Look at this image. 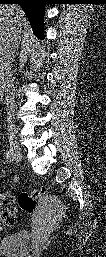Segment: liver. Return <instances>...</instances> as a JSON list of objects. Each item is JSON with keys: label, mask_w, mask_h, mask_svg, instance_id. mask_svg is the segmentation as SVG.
Returning a JSON list of instances; mask_svg holds the SVG:
<instances>
[{"label": "liver", "mask_w": 106, "mask_h": 257, "mask_svg": "<svg viewBox=\"0 0 106 257\" xmlns=\"http://www.w3.org/2000/svg\"><path fill=\"white\" fill-rule=\"evenodd\" d=\"M26 18L22 9L18 6L2 5L0 8V42H4L12 24H18L20 27L24 24Z\"/></svg>", "instance_id": "liver-1"}]
</instances>
